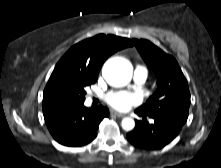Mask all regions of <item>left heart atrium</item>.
<instances>
[{"label":"left heart atrium","mask_w":221,"mask_h":168,"mask_svg":"<svg viewBox=\"0 0 221 168\" xmlns=\"http://www.w3.org/2000/svg\"><path fill=\"white\" fill-rule=\"evenodd\" d=\"M140 101L139 94L127 91L111 92L107 96V102L120 111H127L132 106L139 104Z\"/></svg>","instance_id":"obj_1"}]
</instances>
